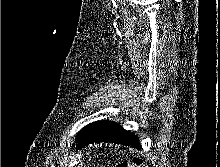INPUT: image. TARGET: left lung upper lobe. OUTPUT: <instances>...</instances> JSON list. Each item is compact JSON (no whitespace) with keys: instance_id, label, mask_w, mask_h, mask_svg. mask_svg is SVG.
Returning a JSON list of instances; mask_svg holds the SVG:
<instances>
[{"instance_id":"left-lung-upper-lobe-1","label":"left lung upper lobe","mask_w":220,"mask_h":167,"mask_svg":"<svg viewBox=\"0 0 220 167\" xmlns=\"http://www.w3.org/2000/svg\"><path fill=\"white\" fill-rule=\"evenodd\" d=\"M93 123L87 125L86 127H84L83 129H81V131L78 133L77 135V138H76V141L79 140L83 135L84 133L88 130V128L92 125Z\"/></svg>"}]
</instances>
